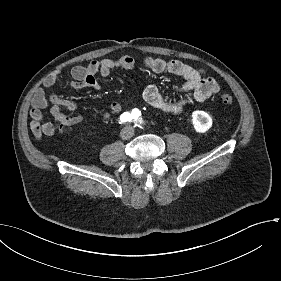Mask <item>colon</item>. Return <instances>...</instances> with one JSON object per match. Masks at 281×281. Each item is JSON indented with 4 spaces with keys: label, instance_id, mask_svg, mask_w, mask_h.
<instances>
[{
    "label": "colon",
    "instance_id": "obj_1",
    "mask_svg": "<svg viewBox=\"0 0 281 281\" xmlns=\"http://www.w3.org/2000/svg\"><path fill=\"white\" fill-rule=\"evenodd\" d=\"M221 103L224 105H230L233 103V97L231 95H222L220 97Z\"/></svg>",
    "mask_w": 281,
    "mask_h": 281
}]
</instances>
